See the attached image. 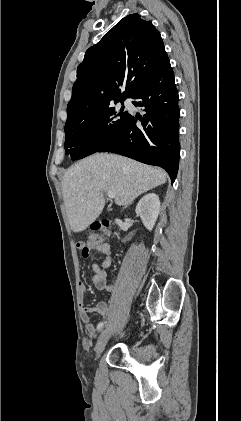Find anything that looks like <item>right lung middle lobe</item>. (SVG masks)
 Masks as SVG:
<instances>
[{"instance_id":"obj_1","label":"right lung middle lobe","mask_w":241,"mask_h":421,"mask_svg":"<svg viewBox=\"0 0 241 421\" xmlns=\"http://www.w3.org/2000/svg\"><path fill=\"white\" fill-rule=\"evenodd\" d=\"M123 104V101H120ZM117 103V102H116ZM130 114L109 106L65 126V152L72 160L82 159L110 143L125 127Z\"/></svg>"}]
</instances>
